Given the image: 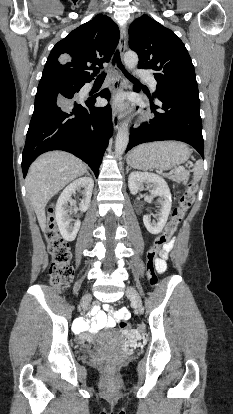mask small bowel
<instances>
[{"mask_svg": "<svg viewBox=\"0 0 233 414\" xmlns=\"http://www.w3.org/2000/svg\"><path fill=\"white\" fill-rule=\"evenodd\" d=\"M172 244L173 241L166 245L162 255L158 259H156L155 267L157 273L165 272L167 268L166 254L171 249ZM91 305L94 308L92 311L93 319L91 321L81 319L76 324V330L80 333L82 339L87 338V332L95 333L101 329L113 328L119 322L124 321L129 317V312L126 308H120L114 311L110 308L108 304H104L103 308L100 309V304L96 300L93 301Z\"/></svg>", "mask_w": 233, "mask_h": 414, "instance_id": "c3829d8e", "label": "small bowel"}]
</instances>
